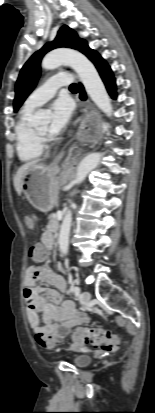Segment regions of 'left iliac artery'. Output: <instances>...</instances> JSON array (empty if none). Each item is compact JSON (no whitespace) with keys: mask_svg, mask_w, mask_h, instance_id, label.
I'll use <instances>...</instances> for the list:
<instances>
[{"mask_svg":"<svg viewBox=\"0 0 155 413\" xmlns=\"http://www.w3.org/2000/svg\"><path fill=\"white\" fill-rule=\"evenodd\" d=\"M73 292H74V294H75L76 296H78V295L80 294V287L75 286V287L73 288Z\"/></svg>","mask_w":155,"mask_h":413,"instance_id":"44dca946","label":"left iliac artery"}]
</instances>
